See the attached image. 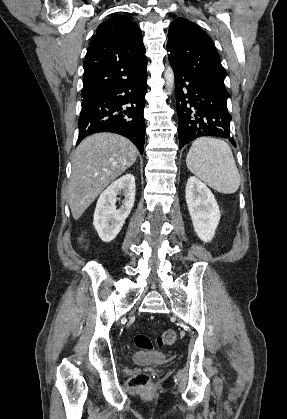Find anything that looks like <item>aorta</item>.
<instances>
[{
    "label": "aorta",
    "mask_w": 287,
    "mask_h": 419,
    "mask_svg": "<svg viewBox=\"0 0 287 419\" xmlns=\"http://www.w3.org/2000/svg\"><path fill=\"white\" fill-rule=\"evenodd\" d=\"M164 78L166 80V88L168 89L169 92H171L173 90L174 87V72L172 70L171 67H167L164 73Z\"/></svg>",
    "instance_id": "aorta-1"
}]
</instances>
